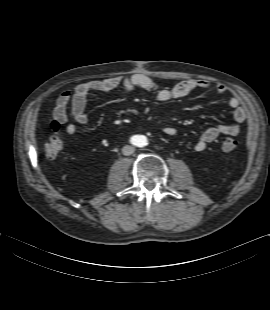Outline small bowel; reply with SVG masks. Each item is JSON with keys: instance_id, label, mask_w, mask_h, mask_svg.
I'll use <instances>...</instances> for the list:
<instances>
[{"instance_id": "c3829d8e", "label": "small bowel", "mask_w": 270, "mask_h": 310, "mask_svg": "<svg viewBox=\"0 0 270 310\" xmlns=\"http://www.w3.org/2000/svg\"><path fill=\"white\" fill-rule=\"evenodd\" d=\"M121 87L125 91L141 88L156 94L160 101L167 102L181 99L196 90H213L223 95L227 87L223 84L212 85L205 80L190 79L177 83L171 88H161L150 76L134 73L128 76L111 77L102 80H87L77 84L74 88L64 91L57 99L54 109V120L65 126L68 135L76 132V124L86 125L89 118L86 114L87 96L93 91L110 92ZM228 104L233 111L234 122L209 127L195 143V149L202 151L206 145L215 141L221 135L235 136L240 132V124L246 120L247 112L237 96H231ZM163 131L168 136H174L177 131L172 126H165Z\"/></svg>"}]
</instances>
